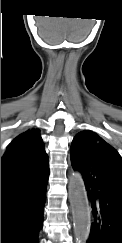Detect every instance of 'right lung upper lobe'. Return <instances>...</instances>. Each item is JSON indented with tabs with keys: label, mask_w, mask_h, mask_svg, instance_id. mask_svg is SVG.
<instances>
[{
	"label": "right lung upper lobe",
	"mask_w": 122,
	"mask_h": 243,
	"mask_svg": "<svg viewBox=\"0 0 122 243\" xmlns=\"http://www.w3.org/2000/svg\"><path fill=\"white\" fill-rule=\"evenodd\" d=\"M48 168V155L39 130H28L9 144L1 159V187Z\"/></svg>",
	"instance_id": "cb5924a9"
}]
</instances>
